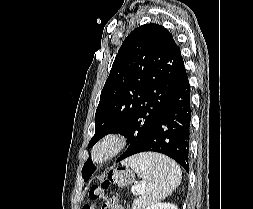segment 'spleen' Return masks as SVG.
<instances>
[{"label":"spleen","instance_id":"1","mask_svg":"<svg viewBox=\"0 0 253 209\" xmlns=\"http://www.w3.org/2000/svg\"><path fill=\"white\" fill-rule=\"evenodd\" d=\"M142 178L144 192L133 202V209H145L170 195L181 183L182 172L170 158L158 153H141L123 161Z\"/></svg>","mask_w":253,"mask_h":209}]
</instances>
